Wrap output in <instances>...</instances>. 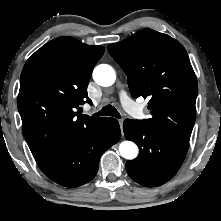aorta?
<instances>
[{"mask_svg": "<svg viewBox=\"0 0 221 221\" xmlns=\"http://www.w3.org/2000/svg\"><path fill=\"white\" fill-rule=\"evenodd\" d=\"M93 79L98 85L108 87L114 84L116 74L110 65L101 64L94 69ZM119 152L125 159L132 160L138 155V147L132 141H123L119 145Z\"/></svg>", "mask_w": 221, "mask_h": 221, "instance_id": "762f6f07", "label": "aorta"}]
</instances>
